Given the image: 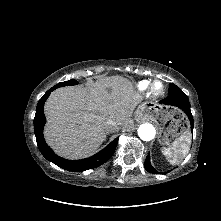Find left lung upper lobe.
I'll return each mask as SVG.
<instances>
[{
  "label": "left lung upper lobe",
  "instance_id": "left-lung-upper-lobe-1",
  "mask_svg": "<svg viewBox=\"0 0 221 221\" xmlns=\"http://www.w3.org/2000/svg\"><path fill=\"white\" fill-rule=\"evenodd\" d=\"M181 89L176 86L175 84L171 83L169 86V95L175 94V93H181Z\"/></svg>",
  "mask_w": 221,
  "mask_h": 221
}]
</instances>
